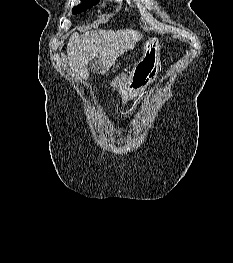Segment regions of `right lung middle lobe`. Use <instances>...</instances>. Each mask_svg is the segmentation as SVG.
Masks as SVG:
<instances>
[{"label":"right lung middle lobe","instance_id":"right-lung-middle-lobe-1","mask_svg":"<svg viewBox=\"0 0 233 263\" xmlns=\"http://www.w3.org/2000/svg\"><path fill=\"white\" fill-rule=\"evenodd\" d=\"M82 1L83 3L81 5L73 8L74 14L80 13L88 9L89 7L93 6L94 4H97V0H82Z\"/></svg>","mask_w":233,"mask_h":263}]
</instances>
